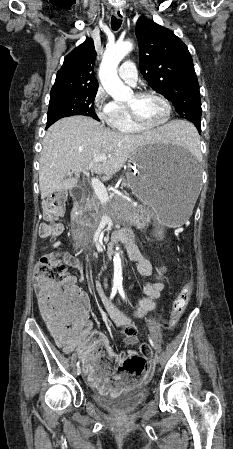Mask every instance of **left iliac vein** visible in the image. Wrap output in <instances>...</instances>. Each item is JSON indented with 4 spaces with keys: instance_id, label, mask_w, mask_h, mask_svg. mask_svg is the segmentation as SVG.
<instances>
[{
    "instance_id": "4c4485c4",
    "label": "left iliac vein",
    "mask_w": 233,
    "mask_h": 449,
    "mask_svg": "<svg viewBox=\"0 0 233 449\" xmlns=\"http://www.w3.org/2000/svg\"><path fill=\"white\" fill-rule=\"evenodd\" d=\"M153 361L155 364L159 363V356L157 354L154 355Z\"/></svg>"
}]
</instances>
